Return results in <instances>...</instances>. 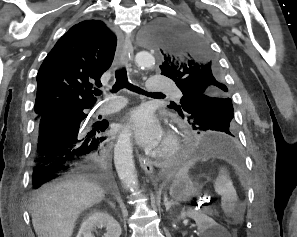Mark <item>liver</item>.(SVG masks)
Listing matches in <instances>:
<instances>
[{"label":"liver","instance_id":"6515ba94","mask_svg":"<svg viewBox=\"0 0 297 237\" xmlns=\"http://www.w3.org/2000/svg\"><path fill=\"white\" fill-rule=\"evenodd\" d=\"M104 197V189L87 176L74 175L45 186L31 205L37 237H71L79 214Z\"/></svg>","mask_w":297,"mask_h":237}]
</instances>
